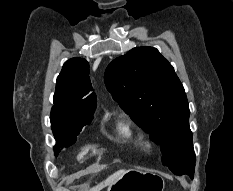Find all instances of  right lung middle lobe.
I'll return each mask as SVG.
<instances>
[{
  "mask_svg": "<svg viewBox=\"0 0 233 191\" xmlns=\"http://www.w3.org/2000/svg\"><path fill=\"white\" fill-rule=\"evenodd\" d=\"M94 113L75 114L52 108L51 127L56 139L55 154L60 147H68L75 143L76 137L85 125L90 124Z\"/></svg>",
  "mask_w": 233,
  "mask_h": 191,
  "instance_id": "dd1d6c3e",
  "label": "right lung middle lobe"
}]
</instances>
